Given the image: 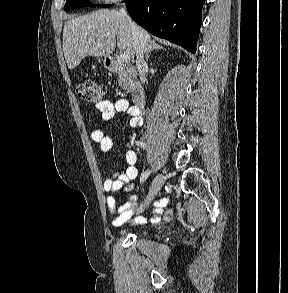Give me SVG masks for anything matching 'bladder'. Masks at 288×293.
I'll return each instance as SVG.
<instances>
[{
  "instance_id": "31cf9c89",
  "label": "bladder",
  "mask_w": 288,
  "mask_h": 293,
  "mask_svg": "<svg viewBox=\"0 0 288 293\" xmlns=\"http://www.w3.org/2000/svg\"><path fill=\"white\" fill-rule=\"evenodd\" d=\"M139 235H140V236H144V235H146V231H140V232H139Z\"/></svg>"
}]
</instances>
